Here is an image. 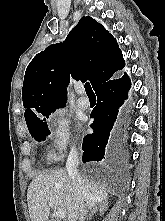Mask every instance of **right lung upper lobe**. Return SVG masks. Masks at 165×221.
Masks as SVG:
<instances>
[{"instance_id":"obj_1","label":"right lung upper lobe","mask_w":165,"mask_h":221,"mask_svg":"<svg viewBox=\"0 0 165 221\" xmlns=\"http://www.w3.org/2000/svg\"><path fill=\"white\" fill-rule=\"evenodd\" d=\"M125 66L116 39L90 16L80 19L63 43L52 44L28 65L23 89L26 123L65 105L70 77L96 90Z\"/></svg>"}]
</instances>
